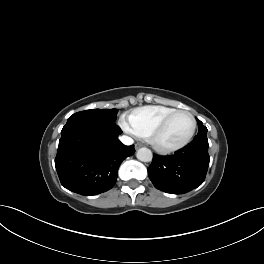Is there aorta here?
Segmentation results:
<instances>
[{"label":"aorta","mask_w":264,"mask_h":264,"mask_svg":"<svg viewBox=\"0 0 264 264\" xmlns=\"http://www.w3.org/2000/svg\"><path fill=\"white\" fill-rule=\"evenodd\" d=\"M136 157L138 160L142 162H150L152 161L153 154L150 149L144 147V148H140L137 151Z\"/></svg>","instance_id":"1"}]
</instances>
